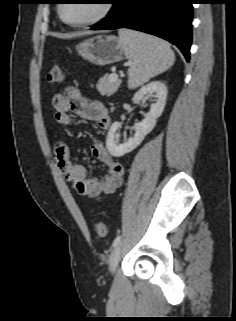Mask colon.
Masks as SVG:
<instances>
[{"mask_svg":"<svg viewBox=\"0 0 236 321\" xmlns=\"http://www.w3.org/2000/svg\"><path fill=\"white\" fill-rule=\"evenodd\" d=\"M63 80L62 68L58 65L53 66L47 74V83L50 85H56L61 83ZM93 229L95 233L100 237L107 235V225L104 221L96 220L93 223Z\"/></svg>","mask_w":236,"mask_h":321,"instance_id":"1","label":"colon"}]
</instances>
